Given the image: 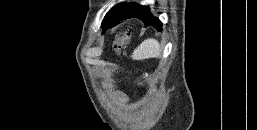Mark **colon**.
I'll return each instance as SVG.
<instances>
[{"label":"colon","mask_w":257,"mask_h":130,"mask_svg":"<svg viewBox=\"0 0 257 130\" xmlns=\"http://www.w3.org/2000/svg\"><path fill=\"white\" fill-rule=\"evenodd\" d=\"M129 38H130V32L129 31H125L123 34L118 36L117 39L114 42V50L117 53L122 52L125 45L128 43Z\"/></svg>","instance_id":"1"}]
</instances>
